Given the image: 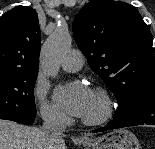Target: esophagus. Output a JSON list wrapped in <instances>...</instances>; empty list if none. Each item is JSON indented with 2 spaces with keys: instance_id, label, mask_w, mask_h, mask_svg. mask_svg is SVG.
<instances>
[{
  "instance_id": "obj_1",
  "label": "esophagus",
  "mask_w": 155,
  "mask_h": 149,
  "mask_svg": "<svg viewBox=\"0 0 155 149\" xmlns=\"http://www.w3.org/2000/svg\"><path fill=\"white\" fill-rule=\"evenodd\" d=\"M79 139H80V140H86V137L83 136V135H81V136L79 137Z\"/></svg>"
}]
</instances>
